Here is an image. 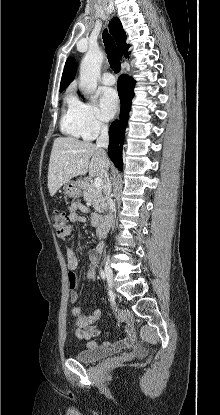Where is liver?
<instances>
[{
  "instance_id": "obj_1",
  "label": "liver",
  "mask_w": 220,
  "mask_h": 415,
  "mask_svg": "<svg viewBox=\"0 0 220 415\" xmlns=\"http://www.w3.org/2000/svg\"><path fill=\"white\" fill-rule=\"evenodd\" d=\"M110 161L105 150L95 144L73 137H58L54 140L49 167L48 189L51 196L72 178L85 175L103 177Z\"/></svg>"
}]
</instances>
